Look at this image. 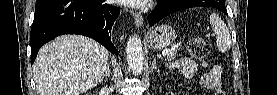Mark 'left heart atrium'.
<instances>
[{
    "label": "left heart atrium",
    "mask_w": 277,
    "mask_h": 95,
    "mask_svg": "<svg viewBox=\"0 0 277 95\" xmlns=\"http://www.w3.org/2000/svg\"><path fill=\"white\" fill-rule=\"evenodd\" d=\"M150 0H122L121 3L130 5L132 7H141L147 3H149Z\"/></svg>",
    "instance_id": "left-heart-atrium-1"
}]
</instances>
